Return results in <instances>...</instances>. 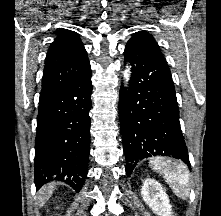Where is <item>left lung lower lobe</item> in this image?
Wrapping results in <instances>:
<instances>
[{
    "label": "left lung lower lobe",
    "mask_w": 221,
    "mask_h": 216,
    "mask_svg": "<svg viewBox=\"0 0 221 216\" xmlns=\"http://www.w3.org/2000/svg\"><path fill=\"white\" fill-rule=\"evenodd\" d=\"M124 54L132 66L130 84L119 95L127 176L137 162L156 155L181 159L190 167L175 88L163 55L129 42Z\"/></svg>",
    "instance_id": "0a47b994"
}]
</instances>
